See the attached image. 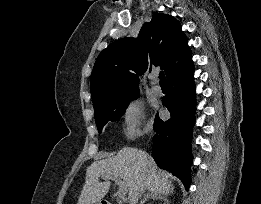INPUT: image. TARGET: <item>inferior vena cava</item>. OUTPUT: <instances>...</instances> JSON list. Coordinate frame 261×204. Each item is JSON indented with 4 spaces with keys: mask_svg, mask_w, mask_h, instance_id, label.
<instances>
[{
    "mask_svg": "<svg viewBox=\"0 0 261 204\" xmlns=\"http://www.w3.org/2000/svg\"><path fill=\"white\" fill-rule=\"evenodd\" d=\"M144 188L142 187L139 190H136L130 200V204H136L138 201V198L140 197L141 193L143 192Z\"/></svg>",
    "mask_w": 261,
    "mask_h": 204,
    "instance_id": "inferior-vena-cava-1",
    "label": "inferior vena cava"
}]
</instances>
